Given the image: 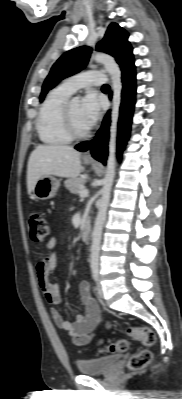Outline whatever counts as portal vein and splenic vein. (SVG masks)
Here are the masks:
<instances>
[{
    "instance_id": "18ae733b",
    "label": "portal vein and splenic vein",
    "mask_w": 182,
    "mask_h": 399,
    "mask_svg": "<svg viewBox=\"0 0 182 399\" xmlns=\"http://www.w3.org/2000/svg\"><path fill=\"white\" fill-rule=\"evenodd\" d=\"M88 193H89L88 189H85V188H84V189L81 190L80 196H81L82 198L87 197V196H88Z\"/></svg>"
}]
</instances>
